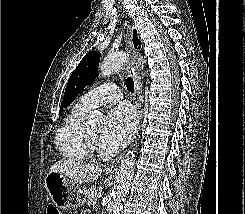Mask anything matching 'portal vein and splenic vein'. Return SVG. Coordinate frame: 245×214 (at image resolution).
Listing matches in <instances>:
<instances>
[{
  "label": "portal vein and splenic vein",
  "mask_w": 245,
  "mask_h": 214,
  "mask_svg": "<svg viewBox=\"0 0 245 214\" xmlns=\"http://www.w3.org/2000/svg\"><path fill=\"white\" fill-rule=\"evenodd\" d=\"M101 196H102L101 193H98V194H97V197H98V198H100Z\"/></svg>",
  "instance_id": "1"
}]
</instances>
